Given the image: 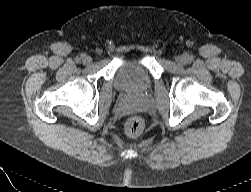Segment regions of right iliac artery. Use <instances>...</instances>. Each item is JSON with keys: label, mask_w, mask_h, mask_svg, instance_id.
<instances>
[{"label": "right iliac artery", "mask_w": 251, "mask_h": 192, "mask_svg": "<svg viewBox=\"0 0 251 192\" xmlns=\"http://www.w3.org/2000/svg\"><path fill=\"white\" fill-rule=\"evenodd\" d=\"M85 57V55L84 54H82L81 56H80V58L79 59H77V62H79L81 59H83Z\"/></svg>", "instance_id": "obj_1"}]
</instances>
